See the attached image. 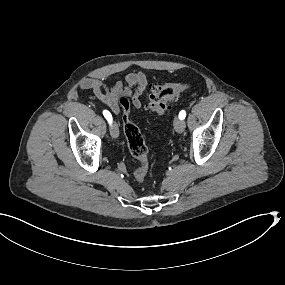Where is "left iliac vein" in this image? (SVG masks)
Here are the masks:
<instances>
[{
    "mask_svg": "<svg viewBox=\"0 0 285 285\" xmlns=\"http://www.w3.org/2000/svg\"><path fill=\"white\" fill-rule=\"evenodd\" d=\"M173 125H174V129L179 133H182L186 127L185 122L178 117L174 119Z\"/></svg>",
    "mask_w": 285,
    "mask_h": 285,
    "instance_id": "1",
    "label": "left iliac vein"
}]
</instances>
